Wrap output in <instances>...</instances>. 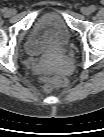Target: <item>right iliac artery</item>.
Returning <instances> with one entry per match:
<instances>
[{
    "label": "right iliac artery",
    "mask_w": 104,
    "mask_h": 137,
    "mask_svg": "<svg viewBox=\"0 0 104 137\" xmlns=\"http://www.w3.org/2000/svg\"><path fill=\"white\" fill-rule=\"evenodd\" d=\"M2 12L5 13V14H7L8 13V9L7 8H3Z\"/></svg>",
    "instance_id": "82829eb1"
}]
</instances>
